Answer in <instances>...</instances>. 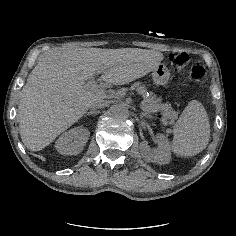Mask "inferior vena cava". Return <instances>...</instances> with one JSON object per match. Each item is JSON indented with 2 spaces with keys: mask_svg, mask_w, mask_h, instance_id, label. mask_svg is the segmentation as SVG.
<instances>
[{
  "mask_svg": "<svg viewBox=\"0 0 236 236\" xmlns=\"http://www.w3.org/2000/svg\"><path fill=\"white\" fill-rule=\"evenodd\" d=\"M107 105H108V101L103 100L100 103H98L95 106H93V108H103V107H105Z\"/></svg>",
  "mask_w": 236,
  "mask_h": 236,
  "instance_id": "obj_1",
  "label": "inferior vena cava"
}]
</instances>
